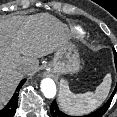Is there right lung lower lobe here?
<instances>
[{"instance_id": "98d812e1", "label": "right lung lower lobe", "mask_w": 117, "mask_h": 117, "mask_svg": "<svg viewBox=\"0 0 117 117\" xmlns=\"http://www.w3.org/2000/svg\"><path fill=\"white\" fill-rule=\"evenodd\" d=\"M25 81L26 80L24 79L20 82L16 89L17 92L20 90ZM17 92L14 93L9 103L2 110H0V117H12L15 114L18 102Z\"/></svg>"}]
</instances>
